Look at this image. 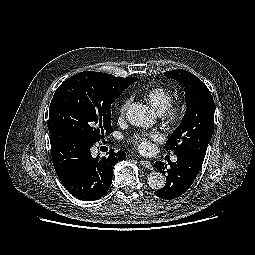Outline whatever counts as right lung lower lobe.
Here are the masks:
<instances>
[{"label":"right lung lower lobe","mask_w":255,"mask_h":255,"mask_svg":"<svg viewBox=\"0 0 255 255\" xmlns=\"http://www.w3.org/2000/svg\"><path fill=\"white\" fill-rule=\"evenodd\" d=\"M53 166L64 187L76 198L92 201L109 189L114 165L126 159L123 151L114 150L108 156L93 158L90 142L64 130L50 133Z\"/></svg>","instance_id":"right-lung-lower-lobe-1"}]
</instances>
